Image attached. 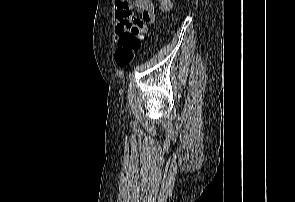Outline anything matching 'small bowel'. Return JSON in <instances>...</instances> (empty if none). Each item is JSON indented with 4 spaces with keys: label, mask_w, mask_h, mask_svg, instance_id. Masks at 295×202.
I'll return each instance as SVG.
<instances>
[{
    "label": "small bowel",
    "mask_w": 295,
    "mask_h": 202,
    "mask_svg": "<svg viewBox=\"0 0 295 202\" xmlns=\"http://www.w3.org/2000/svg\"><path fill=\"white\" fill-rule=\"evenodd\" d=\"M172 0H158V8L168 12L172 8ZM156 6L151 0H116L114 20L115 33L119 35L131 24L142 26L143 21L152 23ZM136 11L143 13V21L136 15Z\"/></svg>",
    "instance_id": "1"
}]
</instances>
